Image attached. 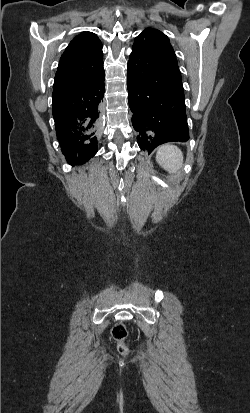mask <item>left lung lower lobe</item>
<instances>
[{
  "instance_id": "1",
  "label": "left lung lower lobe",
  "mask_w": 250,
  "mask_h": 413,
  "mask_svg": "<svg viewBox=\"0 0 250 413\" xmlns=\"http://www.w3.org/2000/svg\"><path fill=\"white\" fill-rule=\"evenodd\" d=\"M127 87L141 150L150 154L162 143L189 139L184 89L173 50L152 36L133 45Z\"/></svg>"
}]
</instances>
